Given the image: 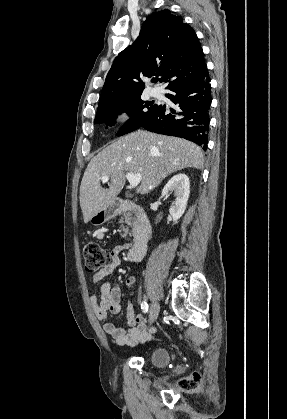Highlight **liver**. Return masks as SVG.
I'll return each instance as SVG.
<instances>
[{"label": "liver", "instance_id": "obj_1", "mask_svg": "<svg viewBox=\"0 0 287 419\" xmlns=\"http://www.w3.org/2000/svg\"><path fill=\"white\" fill-rule=\"evenodd\" d=\"M204 157L199 146L182 138L138 130L111 143L89 162L80 185L84 223L104 209L121 192L126 173L141 174L139 192L149 193L168 175L184 168L201 169ZM110 177L102 188V176Z\"/></svg>", "mask_w": 287, "mask_h": 419}]
</instances>
